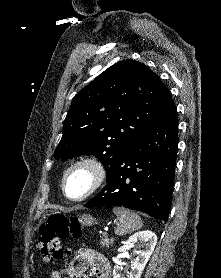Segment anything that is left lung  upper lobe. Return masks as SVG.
Returning a JSON list of instances; mask_svg holds the SVG:
<instances>
[{
    "instance_id": "obj_1",
    "label": "left lung upper lobe",
    "mask_w": 221,
    "mask_h": 278,
    "mask_svg": "<svg viewBox=\"0 0 221 278\" xmlns=\"http://www.w3.org/2000/svg\"><path fill=\"white\" fill-rule=\"evenodd\" d=\"M173 104L153 71L134 60L120 61L73 98L54 156L93 154L109 175L124 149Z\"/></svg>"
}]
</instances>
